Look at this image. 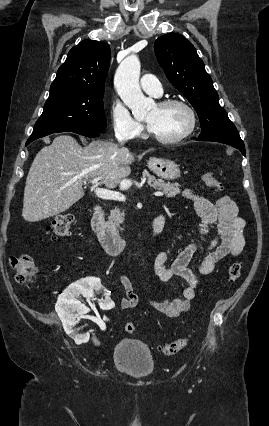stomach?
Instances as JSON below:
<instances>
[{"instance_id":"1","label":"stomach","mask_w":269,"mask_h":426,"mask_svg":"<svg viewBox=\"0 0 269 426\" xmlns=\"http://www.w3.org/2000/svg\"><path fill=\"white\" fill-rule=\"evenodd\" d=\"M148 167L158 177L165 180H174L180 176L179 166L171 160L150 158Z\"/></svg>"}]
</instances>
